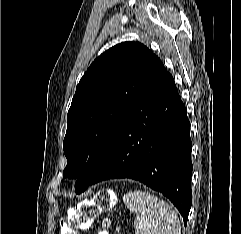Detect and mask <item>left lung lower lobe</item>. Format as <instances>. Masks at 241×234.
<instances>
[{
  "label": "left lung lower lobe",
  "instance_id": "0a47b994",
  "mask_svg": "<svg viewBox=\"0 0 241 234\" xmlns=\"http://www.w3.org/2000/svg\"><path fill=\"white\" fill-rule=\"evenodd\" d=\"M191 139L186 108L161 64L123 121L90 185L131 178L165 195L187 224L191 208Z\"/></svg>",
  "mask_w": 241,
  "mask_h": 234
}]
</instances>
